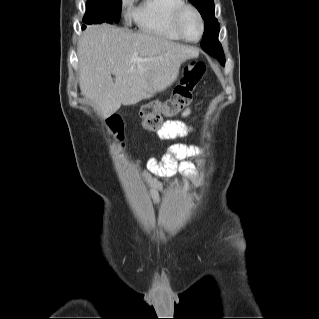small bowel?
<instances>
[{
    "instance_id": "small-bowel-1",
    "label": "small bowel",
    "mask_w": 319,
    "mask_h": 319,
    "mask_svg": "<svg viewBox=\"0 0 319 319\" xmlns=\"http://www.w3.org/2000/svg\"><path fill=\"white\" fill-rule=\"evenodd\" d=\"M188 114L189 111L184 112V116ZM190 130L191 128L182 121H167L157 131L156 135L160 140L171 141L186 136ZM199 151V148L195 145L173 143L168 147L161 160L152 157L146 162L147 173L144 178L155 204H159L162 191V184L157 177L165 176L177 169L188 176H193L194 171L187 159L198 154ZM177 160L180 162L177 163Z\"/></svg>"
}]
</instances>
